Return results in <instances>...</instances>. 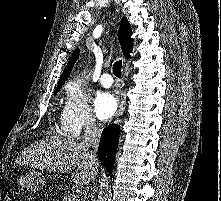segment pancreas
Here are the masks:
<instances>
[{
  "label": "pancreas",
  "instance_id": "1",
  "mask_svg": "<svg viewBox=\"0 0 221 201\" xmlns=\"http://www.w3.org/2000/svg\"><path fill=\"white\" fill-rule=\"evenodd\" d=\"M70 196H72V195L64 196L63 201H68ZM75 201H80V199L77 198V199H75Z\"/></svg>",
  "mask_w": 221,
  "mask_h": 201
}]
</instances>
